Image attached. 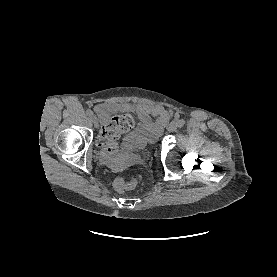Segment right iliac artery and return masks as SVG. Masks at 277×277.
I'll use <instances>...</instances> for the list:
<instances>
[{"instance_id": "right-iliac-artery-1", "label": "right iliac artery", "mask_w": 277, "mask_h": 277, "mask_svg": "<svg viewBox=\"0 0 277 277\" xmlns=\"http://www.w3.org/2000/svg\"><path fill=\"white\" fill-rule=\"evenodd\" d=\"M86 115L89 116V117H92L93 116V112L91 110H87L86 111Z\"/></svg>"}]
</instances>
